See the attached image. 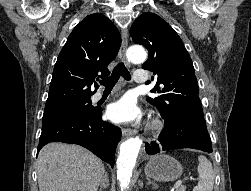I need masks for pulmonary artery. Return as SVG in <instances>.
Wrapping results in <instances>:
<instances>
[{"label":"pulmonary artery","instance_id":"e3ab8cb5","mask_svg":"<svg viewBox=\"0 0 251 191\" xmlns=\"http://www.w3.org/2000/svg\"><path fill=\"white\" fill-rule=\"evenodd\" d=\"M146 68H134V79L136 82H144L148 78V73H146ZM103 97L102 92H97L93 95V100L98 101Z\"/></svg>","mask_w":251,"mask_h":191}]
</instances>
